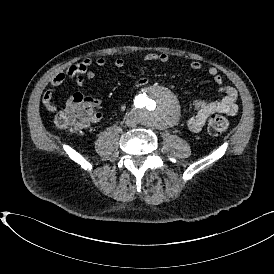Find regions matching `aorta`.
<instances>
[{
  "label": "aorta",
  "mask_w": 274,
  "mask_h": 274,
  "mask_svg": "<svg viewBox=\"0 0 274 274\" xmlns=\"http://www.w3.org/2000/svg\"><path fill=\"white\" fill-rule=\"evenodd\" d=\"M136 105L142 124L163 128L179 117L180 106L174 93L166 87L152 85L137 96Z\"/></svg>",
  "instance_id": "1"
}]
</instances>
